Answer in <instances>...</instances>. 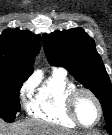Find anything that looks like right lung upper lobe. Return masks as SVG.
<instances>
[{"mask_svg":"<svg viewBox=\"0 0 112 135\" xmlns=\"http://www.w3.org/2000/svg\"><path fill=\"white\" fill-rule=\"evenodd\" d=\"M41 46V37L30 31L6 29L0 35V76L23 74L29 77Z\"/></svg>","mask_w":112,"mask_h":135,"instance_id":"1","label":"right lung upper lobe"}]
</instances>
